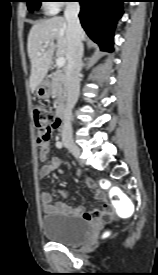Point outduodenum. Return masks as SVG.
<instances>
[{"label": "duodenum", "instance_id": "1", "mask_svg": "<svg viewBox=\"0 0 158 275\" xmlns=\"http://www.w3.org/2000/svg\"><path fill=\"white\" fill-rule=\"evenodd\" d=\"M57 119L59 121V124H62V122L66 119V108L63 105H60L58 107Z\"/></svg>", "mask_w": 158, "mask_h": 275}]
</instances>
